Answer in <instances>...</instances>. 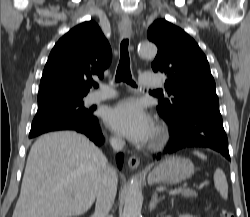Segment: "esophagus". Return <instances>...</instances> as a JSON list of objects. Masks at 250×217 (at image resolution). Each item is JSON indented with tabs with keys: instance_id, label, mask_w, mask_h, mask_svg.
<instances>
[{
	"instance_id": "34e87169",
	"label": "esophagus",
	"mask_w": 250,
	"mask_h": 217,
	"mask_svg": "<svg viewBox=\"0 0 250 217\" xmlns=\"http://www.w3.org/2000/svg\"><path fill=\"white\" fill-rule=\"evenodd\" d=\"M119 32L122 38H128L132 34V23L129 18H122L119 24ZM140 164V160L137 156L133 155L128 159V166L131 169H137Z\"/></svg>"
}]
</instances>
